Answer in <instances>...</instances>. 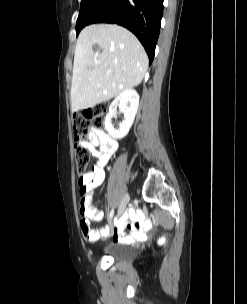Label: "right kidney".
<instances>
[{"label":"right kidney","instance_id":"right-kidney-1","mask_svg":"<svg viewBox=\"0 0 247 304\" xmlns=\"http://www.w3.org/2000/svg\"><path fill=\"white\" fill-rule=\"evenodd\" d=\"M139 106V95L134 89L123 90L111 103L109 107V112L105 117L104 125L106 131L114 139L124 138L135 119L137 109ZM117 107H119L120 112L124 115V120L119 123V128H114L112 124V118L117 113Z\"/></svg>","mask_w":247,"mask_h":304}]
</instances>
